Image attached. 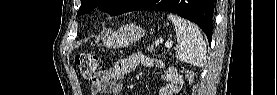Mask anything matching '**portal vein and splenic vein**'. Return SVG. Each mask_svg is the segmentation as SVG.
Returning <instances> with one entry per match:
<instances>
[{
    "label": "portal vein and splenic vein",
    "instance_id": "portal-vein-and-splenic-vein-1",
    "mask_svg": "<svg viewBox=\"0 0 277 95\" xmlns=\"http://www.w3.org/2000/svg\"><path fill=\"white\" fill-rule=\"evenodd\" d=\"M173 46L172 42H165V47L166 48H171Z\"/></svg>",
    "mask_w": 277,
    "mask_h": 95
}]
</instances>
